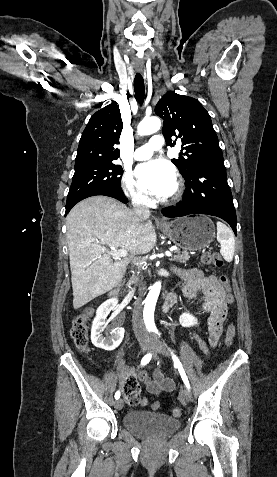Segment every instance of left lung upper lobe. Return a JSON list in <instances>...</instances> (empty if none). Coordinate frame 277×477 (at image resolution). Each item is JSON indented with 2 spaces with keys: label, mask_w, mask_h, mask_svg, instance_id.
Instances as JSON below:
<instances>
[{
  "label": "left lung upper lobe",
  "mask_w": 277,
  "mask_h": 477,
  "mask_svg": "<svg viewBox=\"0 0 277 477\" xmlns=\"http://www.w3.org/2000/svg\"><path fill=\"white\" fill-rule=\"evenodd\" d=\"M155 113L164 120L162 132L166 144H176L172 136L182 141V151L185 152L172 162L185 178L201 161L223 157L211 118L197 99L169 91L157 103Z\"/></svg>",
  "instance_id": "obj_1"
}]
</instances>
